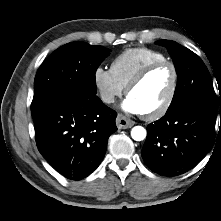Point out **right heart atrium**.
I'll use <instances>...</instances> for the list:
<instances>
[{
	"instance_id": "right-heart-atrium-1",
	"label": "right heart atrium",
	"mask_w": 221,
	"mask_h": 221,
	"mask_svg": "<svg viewBox=\"0 0 221 221\" xmlns=\"http://www.w3.org/2000/svg\"><path fill=\"white\" fill-rule=\"evenodd\" d=\"M93 82L99 97L105 104L114 103L124 91V87L116 80L111 70L100 66L93 72Z\"/></svg>"
}]
</instances>
